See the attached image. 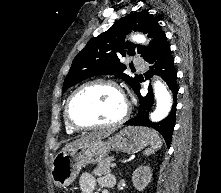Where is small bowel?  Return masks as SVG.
Returning a JSON list of instances; mask_svg holds the SVG:
<instances>
[{
    "label": "small bowel",
    "mask_w": 221,
    "mask_h": 193,
    "mask_svg": "<svg viewBox=\"0 0 221 193\" xmlns=\"http://www.w3.org/2000/svg\"><path fill=\"white\" fill-rule=\"evenodd\" d=\"M113 185L114 179L111 176L96 178L88 172H84L80 176L81 193H93L96 187L101 189V193H110L108 189Z\"/></svg>",
    "instance_id": "small-bowel-1"
}]
</instances>
